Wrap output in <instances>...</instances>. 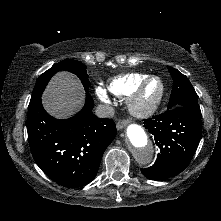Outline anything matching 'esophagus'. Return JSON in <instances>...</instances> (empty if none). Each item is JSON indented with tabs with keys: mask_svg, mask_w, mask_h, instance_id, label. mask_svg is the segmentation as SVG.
I'll list each match as a JSON object with an SVG mask.
<instances>
[{
	"mask_svg": "<svg viewBox=\"0 0 221 221\" xmlns=\"http://www.w3.org/2000/svg\"><path fill=\"white\" fill-rule=\"evenodd\" d=\"M126 124H127V120L125 119L119 120L117 123V129L118 130L123 129L126 126Z\"/></svg>",
	"mask_w": 221,
	"mask_h": 221,
	"instance_id": "obj_1",
	"label": "esophagus"
}]
</instances>
